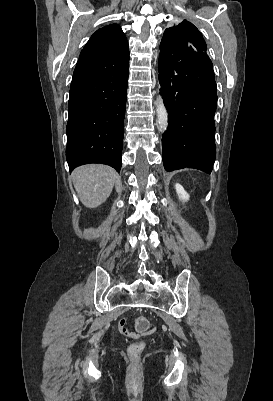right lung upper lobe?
Masks as SVG:
<instances>
[{"mask_svg": "<svg viewBox=\"0 0 273 401\" xmlns=\"http://www.w3.org/2000/svg\"><path fill=\"white\" fill-rule=\"evenodd\" d=\"M129 58L128 41L117 24L97 30L81 51L71 85L95 77Z\"/></svg>", "mask_w": 273, "mask_h": 401, "instance_id": "right-lung-upper-lobe-1", "label": "right lung upper lobe"}]
</instances>
